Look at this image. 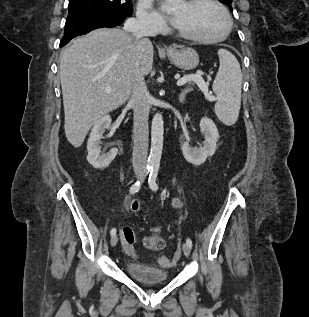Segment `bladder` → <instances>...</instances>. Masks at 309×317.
<instances>
[{
  "mask_svg": "<svg viewBox=\"0 0 309 317\" xmlns=\"http://www.w3.org/2000/svg\"><path fill=\"white\" fill-rule=\"evenodd\" d=\"M127 274L135 281L145 285L163 284L168 280V273L164 269L129 261L125 266Z\"/></svg>",
  "mask_w": 309,
  "mask_h": 317,
  "instance_id": "bladder-1",
  "label": "bladder"
}]
</instances>
